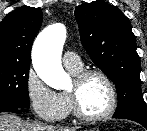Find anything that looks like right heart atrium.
Here are the masks:
<instances>
[{
    "instance_id": "1",
    "label": "right heart atrium",
    "mask_w": 147,
    "mask_h": 131,
    "mask_svg": "<svg viewBox=\"0 0 147 131\" xmlns=\"http://www.w3.org/2000/svg\"><path fill=\"white\" fill-rule=\"evenodd\" d=\"M25 90L37 117L46 122H57L65 117L67 106L62 95L48 87L33 69L27 73Z\"/></svg>"
}]
</instances>
